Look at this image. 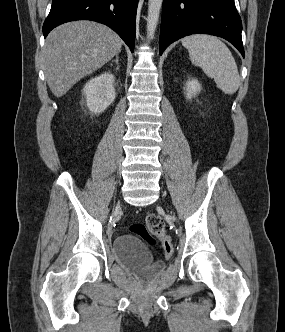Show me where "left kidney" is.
<instances>
[{"label": "left kidney", "instance_id": "left-kidney-1", "mask_svg": "<svg viewBox=\"0 0 285 332\" xmlns=\"http://www.w3.org/2000/svg\"><path fill=\"white\" fill-rule=\"evenodd\" d=\"M201 91V84L197 79H190L186 83V98L191 99L195 97Z\"/></svg>", "mask_w": 285, "mask_h": 332}]
</instances>
